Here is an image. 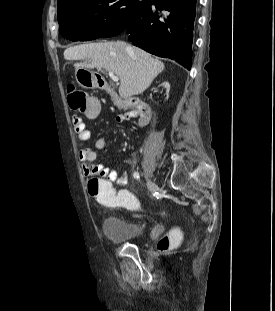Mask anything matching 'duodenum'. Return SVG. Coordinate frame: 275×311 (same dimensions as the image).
Segmentation results:
<instances>
[{
	"mask_svg": "<svg viewBox=\"0 0 275 311\" xmlns=\"http://www.w3.org/2000/svg\"><path fill=\"white\" fill-rule=\"evenodd\" d=\"M92 74L96 75L97 71L93 70ZM94 84H98V87L101 90L108 93L112 97L114 103L118 105L119 107H123L127 109L136 108L139 112V125L140 126H145L149 122L150 117H151V110H150V107L146 103L138 99H132V98L122 99L118 97L116 93L114 92L113 88L111 87V84L105 81V77H94Z\"/></svg>",
	"mask_w": 275,
	"mask_h": 311,
	"instance_id": "duodenum-1",
	"label": "duodenum"
}]
</instances>
